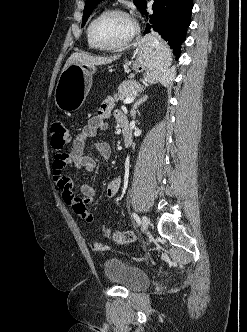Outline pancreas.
Wrapping results in <instances>:
<instances>
[{
    "label": "pancreas",
    "mask_w": 247,
    "mask_h": 332,
    "mask_svg": "<svg viewBox=\"0 0 247 332\" xmlns=\"http://www.w3.org/2000/svg\"><path fill=\"white\" fill-rule=\"evenodd\" d=\"M143 86L135 80H127L121 83L118 87V99L124 100L127 97H132L136 93L141 92Z\"/></svg>",
    "instance_id": "obj_1"
}]
</instances>
